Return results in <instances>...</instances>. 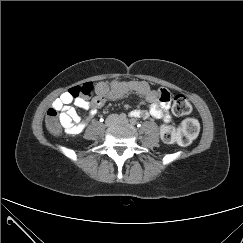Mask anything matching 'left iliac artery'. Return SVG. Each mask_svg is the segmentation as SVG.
<instances>
[{
	"instance_id": "1",
	"label": "left iliac artery",
	"mask_w": 243,
	"mask_h": 243,
	"mask_svg": "<svg viewBox=\"0 0 243 243\" xmlns=\"http://www.w3.org/2000/svg\"><path fill=\"white\" fill-rule=\"evenodd\" d=\"M130 123H131L132 125H135L137 122H136V120H135L134 118H132V119L130 120ZM138 126H140V125H138Z\"/></svg>"
}]
</instances>
